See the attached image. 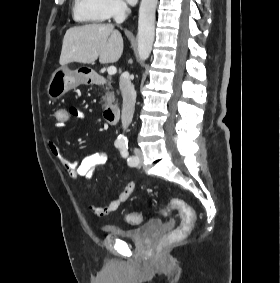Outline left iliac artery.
Returning <instances> with one entry per match:
<instances>
[{
	"instance_id": "obj_1",
	"label": "left iliac artery",
	"mask_w": 280,
	"mask_h": 283,
	"mask_svg": "<svg viewBox=\"0 0 280 283\" xmlns=\"http://www.w3.org/2000/svg\"><path fill=\"white\" fill-rule=\"evenodd\" d=\"M120 148V153L123 158H127V162L130 166H134L137 163V157L135 156H129L128 152V145L123 144Z\"/></svg>"
}]
</instances>
